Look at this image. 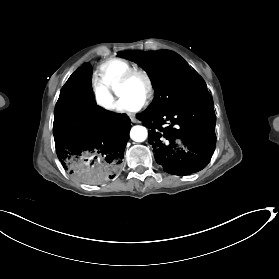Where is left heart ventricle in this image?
Here are the masks:
<instances>
[{
    "label": "left heart ventricle",
    "mask_w": 279,
    "mask_h": 279,
    "mask_svg": "<svg viewBox=\"0 0 279 279\" xmlns=\"http://www.w3.org/2000/svg\"><path fill=\"white\" fill-rule=\"evenodd\" d=\"M145 92L146 85L144 81L141 79H135L120 90L119 97L131 100H143Z\"/></svg>",
    "instance_id": "1"
}]
</instances>
